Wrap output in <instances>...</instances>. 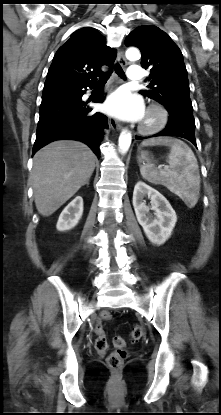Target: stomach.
Here are the masks:
<instances>
[{
	"mask_svg": "<svg viewBox=\"0 0 221 415\" xmlns=\"http://www.w3.org/2000/svg\"><path fill=\"white\" fill-rule=\"evenodd\" d=\"M145 156H146V153L143 154V157H145Z\"/></svg>",
	"mask_w": 221,
	"mask_h": 415,
	"instance_id": "1",
	"label": "stomach"
}]
</instances>
